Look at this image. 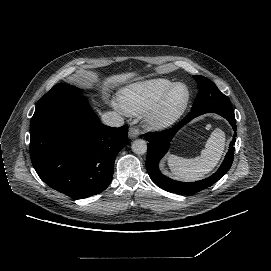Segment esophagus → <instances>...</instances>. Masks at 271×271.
Segmentation results:
<instances>
[{
  "mask_svg": "<svg viewBox=\"0 0 271 271\" xmlns=\"http://www.w3.org/2000/svg\"><path fill=\"white\" fill-rule=\"evenodd\" d=\"M139 136V129L136 127H130L129 129V138L130 139H135Z\"/></svg>",
  "mask_w": 271,
  "mask_h": 271,
  "instance_id": "1",
  "label": "esophagus"
}]
</instances>
